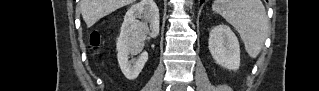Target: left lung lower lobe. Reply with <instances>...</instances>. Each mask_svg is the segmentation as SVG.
I'll use <instances>...</instances> for the list:
<instances>
[{
  "label": "left lung lower lobe",
  "mask_w": 319,
  "mask_h": 91,
  "mask_svg": "<svg viewBox=\"0 0 319 91\" xmlns=\"http://www.w3.org/2000/svg\"><path fill=\"white\" fill-rule=\"evenodd\" d=\"M204 0H200V3H202ZM268 1V0H267Z\"/></svg>",
  "instance_id": "left-lung-lower-lobe-1"
}]
</instances>
